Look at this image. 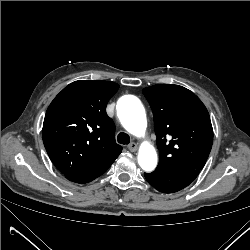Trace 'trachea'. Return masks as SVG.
Wrapping results in <instances>:
<instances>
[{"label":"trachea","mask_w":250,"mask_h":250,"mask_svg":"<svg viewBox=\"0 0 250 250\" xmlns=\"http://www.w3.org/2000/svg\"><path fill=\"white\" fill-rule=\"evenodd\" d=\"M117 140L120 144H124V145H127L129 144L130 142V137L128 134L124 133V132H121L118 134L117 136Z\"/></svg>","instance_id":"trachea-1"}]
</instances>
